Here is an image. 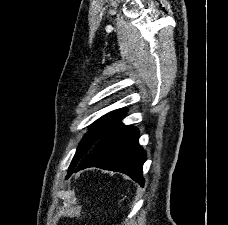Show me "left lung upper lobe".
Segmentation results:
<instances>
[{
	"mask_svg": "<svg viewBox=\"0 0 228 225\" xmlns=\"http://www.w3.org/2000/svg\"><path fill=\"white\" fill-rule=\"evenodd\" d=\"M124 115V110H116L101 117L92 125L78 146L76 154L69 166L67 178L76 166L93 150L103 133L121 120Z\"/></svg>",
	"mask_w": 228,
	"mask_h": 225,
	"instance_id": "left-lung-upper-lobe-1",
	"label": "left lung upper lobe"
}]
</instances>
